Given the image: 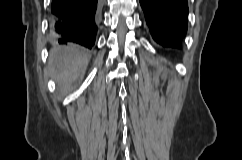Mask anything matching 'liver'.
Wrapping results in <instances>:
<instances>
[{
  "instance_id": "6515ba94",
  "label": "liver",
  "mask_w": 242,
  "mask_h": 160,
  "mask_svg": "<svg viewBox=\"0 0 242 160\" xmlns=\"http://www.w3.org/2000/svg\"><path fill=\"white\" fill-rule=\"evenodd\" d=\"M87 53L77 45L53 47L50 52L49 66L51 75L59 85L74 82L86 69Z\"/></svg>"
}]
</instances>
